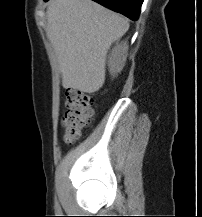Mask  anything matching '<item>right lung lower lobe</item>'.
Returning a JSON list of instances; mask_svg holds the SVG:
<instances>
[{
    "mask_svg": "<svg viewBox=\"0 0 202 217\" xmlns=\"http://www.w3.org/2000/svg\"><path fill=\"white\" fill-rule=\"evenodd\" d=\"M136 21L144 0H93Z\"/></svg>",
    "mask_w": 202,
    "mask_h": 217,
    "instance_id": "98d812e1",
    "label": "right lung lower lobe"
}]
</instances>
